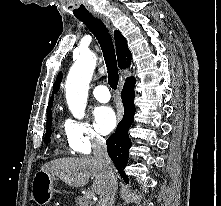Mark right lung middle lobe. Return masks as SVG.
<instances>
[{"label": "right lung middle lobe", "mask_w": 221, "mask_h": 206, "mask_svg": "<svg viewBox=\"0 0 221 206\" xmlns=\"http://www.w3.org/2000/svg\"><path fill=\"white\" fill-rule=\"evenodd\" d=\"M52 112H48L47 113V124H46V138H45V143H49L50 142V136H51V124H52Z\"/></svg>", "instance_id": "obj_1"}]
</instances>
